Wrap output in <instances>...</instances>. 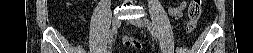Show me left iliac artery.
<instances>
[{"mask_svg":"<svg viewBox=\"0 0 253 53\" xmlns=\"http://www.w3.org/2000/svg\"><path fill=\"white\" fill-rule=\"evenodd\" d=\"M144 21L147 25V28L150 30V36L152 37L151 39V42L152 43H157L158 42V39H159V36L157 35L156 32H154V28H153V25L152 23L147 19V18H144Z\"/></svg>","mask_w":253,"mask_h":53,"instance_id":"obj_1","label":"left iliac artery"}]
</instances>
